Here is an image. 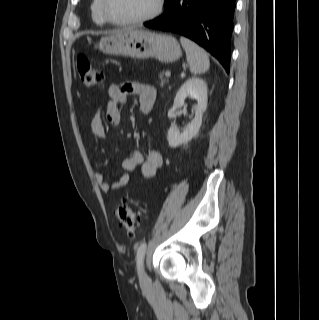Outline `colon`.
<instances>
[{
	"instance_id": "obj_1",
	"label": "colon",
	"mask_w": 319,
	"mask_h": 320,
	"mask_svg": "<svg viewBox=\"0 0 319 320\" xmlns=\"http://www.w3.org/2000/svg\"><path fill=\"white\" fill-rule=\"evenodd\" d=\"M76 64L81 81L86 87L93 88L102 82L103 74L86 56H78ZM114 215L129 237L141 233V217L135 212L129 200L124 199L118 203L114 208Z\"/></svg>"
}]
</instances>
